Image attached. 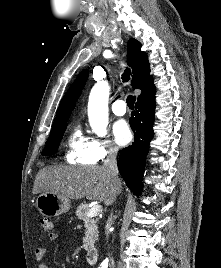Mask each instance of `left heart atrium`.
<instances>
[{"label": "left heart atrium", "instance_id": "obj_1", "mask_svg": "<svg viewBox=\"0 0 221 268\" xmlns=\"http://www.w3.org/2000/svg\"><path fill=\"white\" fill-rule=\"evenodd\" d=\"M113 136L115 142L120 145H126L132 137L131 130L125 120H118L113 125Z\"/></svg>", "mask_w": 221, "mask_h": 268}]
</instances>
